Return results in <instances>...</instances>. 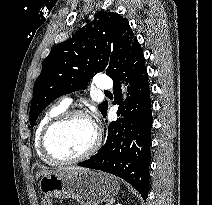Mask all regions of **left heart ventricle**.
I'll list each match as a JSON object with an SVG mask.
<instances>
[{
  "label": "left heart ventricle",
  "instance_id": "1",
  "mask_svg": "<svg viewBox=\"0 0 212 205\" xmlns=\"http://www.w3.org/2000/svg\"><path fill=\"white\" fill-rule=\"evenodd\" d=\"M95 135L96 131L88 119L75 117L52 132L50 146L58 156L72 158L87 150Z\"/></svg>",
  "mask_w": 212,
  "mask_h": 205
}]
</instances>
